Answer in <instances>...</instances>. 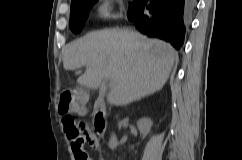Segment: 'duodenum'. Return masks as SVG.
Segmentation results:
<instances>
[{"label": "duodenum", "instance_id": "duodenum-1", "mask_svg": "<svg viewBox=\"0 0 242 160\" xmlns=\"http://www.w3.org/2000/svg\"><path fill=\"white\" fill-rule=\"evenodd\" d=\"M93 117V131L97 134L95 138H100L106 130L107 126V109L104 101L97 98L94 102Z\"/></svg>", "mask_w": 242, "mask_h": 160}]
</instances>
